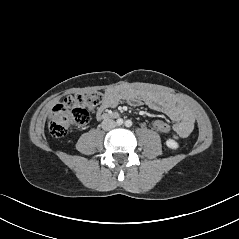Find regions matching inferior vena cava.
<instances>
[{
	"label": "inferior vena cava",
	"instance_id": "1",
	"mask_svg": "<svg viewBox=\"0 0 239 239\" xmlns=\"http://www.w3.org/2000/svg\"><path fill=\"white\" fill-rule=\"evenodd\" d=\"M101 126L103 130L109 131L116 127V122L112 119H104Z\"/></svg>",
	"mask_w": 239,
	"mask_h": 239
}]
</instances>
